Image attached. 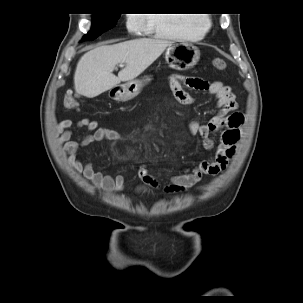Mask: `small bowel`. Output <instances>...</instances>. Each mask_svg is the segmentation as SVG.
I'll list each match as a JSON object with an SVG mask.
<instances>
[{
	"label": "small bowel",
	"mask_w": 303,
	"mask_h": 303,
	"mask_svg": "<svg viewBox=\"0 0 303 303\" xmlns=\"http://www.w3.org/2000/svg\"><path fill=\"white\" fill-rule=\"evenodd\" d=\"M170 88L175 99L182 105H193L197 99L188 93L184 87L195 90L206 91L214 97L218 108L217 113L205 122L193 121L187 125V130L192 135H197L202 139L203 147L212 150L213 155L208 160L200 162L198 167L190 171H185L171 177L170 184L163 186L164 191L169 193H180L191 188L201 180L204 174L216 176L228 165L230 159L235 154L236 144L240 138V126L242 118L236 111L238 105L236 97L231 88L221 82L209 83L205 80L181 74H172L169 77ZM227 114H231L226 118ZM72 127L86 128L91 132L82 141L73 140ZM222 132L218 141H214L213 134ZM56 143L62 147L63 154L68 158L70 166L81 173L97 189L105 192H120L124 189L125 179L121 174L115 177L106 171H97L92 163H83L78 155V151L93 142H119L122 137L112 129L104 128L95 120L82 118L74 121L65 119L59 123L55 131ZM138 176L142 183L138 187V192L144 193L150 189L160 187V182L152 176L147 169L140 168Z\"/></svg>",
	"instance_id": "small-bowel-1"
}]
</instances>
